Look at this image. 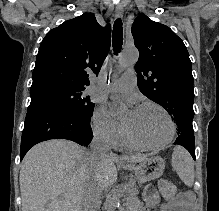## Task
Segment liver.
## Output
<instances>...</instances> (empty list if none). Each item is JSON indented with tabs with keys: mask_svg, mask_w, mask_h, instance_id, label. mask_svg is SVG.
Listing matches in <instances>:
<instances>
[{
	"mask_svg": "<svg viewBox=\"0 0 219 211\" xmlns=\"http://www.w3.org/2000/svg\"><path fill=\"white\" fill-rule=\"evenodd\" d=\"M146 155L111 153L90 165L89 151L68 139L41 141L27 151L19 181L22 211H84L83 201L97 209L103 189L117 181L115 163L143 161Z\"/></svg>",
	"mask_w": 219,
	"mask_h": 211,
	"instance_id": "1",
	"label": "liver"
}]
</instances>
